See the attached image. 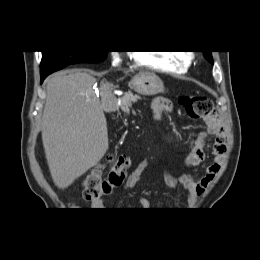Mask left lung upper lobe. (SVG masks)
Wrapping results in <instances>:
<instances>
[{
  "instance_id": "obj_1",
  "label": "left lung upper lobe",
  "mask_w": 260,
  "mask_h": 260,
  "mask_svg": "<svg viewBox=\"0 0 260 260\" xmlns=\"http://www.w3.org/2000/svg\"><path fill=\"white\" fill-rule=\"evenodd\" d=\"M204 54H205V58H206L207 60H209V62H210L211 64H213V59H212L211 51H204Z\"/></svg>"
}]
</instances>
